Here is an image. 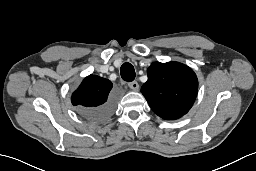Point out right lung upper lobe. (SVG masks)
Returning a JSON list of instances; mask_svg holds the SVG:
<instances>
[{"label": "right lung upper lobe", "mask_w": 256, "mask_h": 171, "mask_svg": "<svg viewBox=\"0 0 256 171\" xmlns=\"http://www.w3.org/2000/svg\"><path fill=\"white\" fill-rule=\"evenodd\" d=\"M111 89L112 82L108 79L89 75L72 94V104L78 106L80 113L83 114L107 103L112 97L109 94Z\"/></svg>", "instance_id": "1"}]
</instances>
